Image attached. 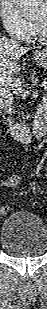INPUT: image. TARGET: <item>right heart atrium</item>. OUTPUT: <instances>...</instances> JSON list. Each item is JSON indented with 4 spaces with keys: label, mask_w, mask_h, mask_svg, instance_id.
<instances>
[{
    "label": "right heart atrium",
    "mask_w": 47,
    "mask_h": 309,
    "mask_svg": "<svg viewBox=\"0 0 47 309\" xmlns=\"http://www.w3.org/2000/svg\"><path fill=\"white\" fill-rule=\"evenodd\" d=\"M0 16L2 23L11 37L26 41L34 33V26L16 7L12 0H1Z\"/></svg>",
    "instance_id": "d8ad5b80"
}]
</instances>
